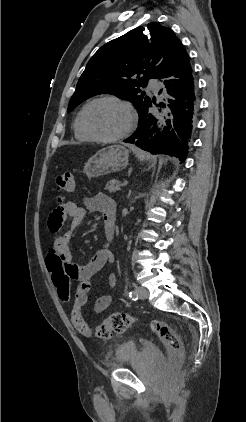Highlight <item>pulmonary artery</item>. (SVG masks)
Returning a JSON list of instances; mask_svg holds the SVG:
<instances>
[{
    "instance_id": "pulmonary-artery-1",
    "label": "pulmonary artery",
    "mask_w": 246,
    "mask_h": 422,
    "mask_svg": "<svg viewBox=\"0 0 246 422\" xmlns=\"http://www.w3.org/2000/svg\"><path fill=\"white\" fill-rule=\"evenodd\" d=\"M148 88L154 92H158L160 89V83L156 79H150L148 83Z\"/></svg>"
}]
</instances>
